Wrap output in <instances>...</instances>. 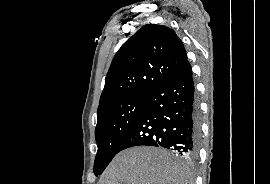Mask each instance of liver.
I'll return each instance as SVG.
<instances>
[{
	"label": "liver",
	"mask_w": 270,
	"mask_h": 184,
	"mask_svg": "<svg viewBox=\"0 0 270 184\" xmlns=\"http://www.w3.org/2000/svg\"><path fill=\"white\" fill-rule=\"evenodd\" d=\"M187 166L173 161L167 151L133 147L115 156L99 184H189Z\"/></svg>",
	"instance_id": "1"
}]
</instances>
